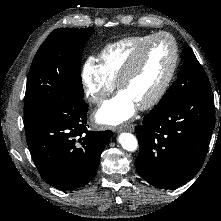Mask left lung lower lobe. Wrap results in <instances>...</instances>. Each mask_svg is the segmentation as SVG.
<instances>
[{
  "mask_svg": "<svg viewBox=\"0 0 221 221\" xmlns=\"http://www.w3.org/2000/svg\"><path fill=\"white\" fill-rule=\"evenodd\" d=\"M214 126L212 91L159 102L135 129L137 172L157 188L185 184L203 165Z\"/></svg>",
  "mask_w": 221,
  "mask_h": 221,
  "instance_id": "1",
  "label": "left lung lower lobe"
}]
</instances>
